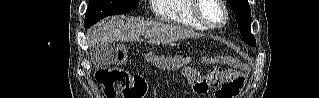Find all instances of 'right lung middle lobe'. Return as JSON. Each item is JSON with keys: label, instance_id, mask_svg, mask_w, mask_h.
I'll return each mask as SVG.
<instances>
[{"label": "right lung middle lobe", "instance_id": "right-lung-middle-lobe-1", "mask_svg": "<svg viewBox=\"0 0 319 98\" xmlns=\"http://www.w3.org/2000/svg\"><path fill=\"white\" fill-rule=\"evenodd\" d=\"M138 5L139 0H89L85 15V28L106 16L129 12Z\"/></svg>", "mask_w": 319, "mask_h": 98}]
</instances>
